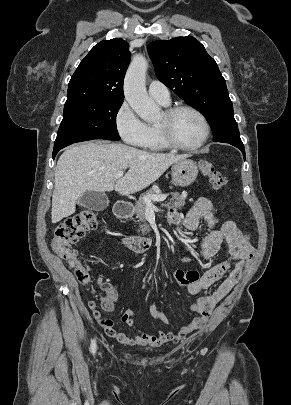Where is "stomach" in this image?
<instances>
[{"instance_id": "stomach-1", "label": "stomach", "mask_w": 291, "mask_h": 405, "mask_svg": "<svg viewBox=\"0 0 291 405\" xmlns=\"http://www.w3.org/2000/svg\"><path fill=\"white\" fill-rule=\"evenodd\" d=\"M198 175V167L189 159H182L172 167V180L175 185L187 187L191 185Z\"/></svg>"}]
</instances>
